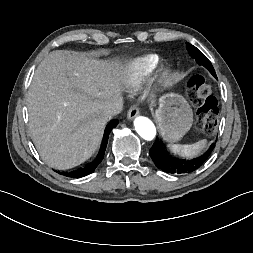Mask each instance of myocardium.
<instances>
[{
  "label": "myocardium",
  "instance_id": "myocardium-1",
  "mask_svg": "<svg viewBox=\"0 0 253 253\" xmlns=\"http://www.w3.org/2000/svg\"><path fill=\"white\" fill-rule=\"evenodd\" d=\"M168 75H169L168 72H166V71L163 72V77H164V78L168 77Z\"/></svg>",
  "mask_w": 253,
  "mask_h": 253
}]
</instances>
